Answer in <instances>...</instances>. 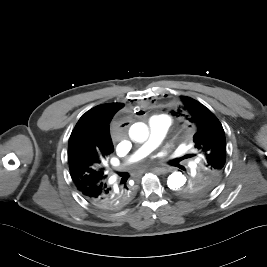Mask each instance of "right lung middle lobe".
<instances>
[{
	"label": "right lung middle lobe",
	"mask_w": 267,
	"mask_h": 267,
	"mask_svg": "<svg viewBox=\"0 0 267 267\" xmlns=\"http://www.w3.org/2000/svg\"><path fill=\"white\" fill-rule=\"evenodd\" d=\"M92 155H86L83 159L70 164V174L76 185H86L96 179L107 177L103 162Z\"/></svg>",
	"instance_id": "obj_1"
}]
</instances>
